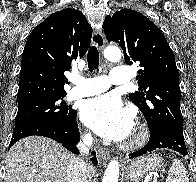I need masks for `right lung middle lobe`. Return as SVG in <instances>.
<instances>
[{"mask_svg": "<svg viewBox=\"0 0 196 182\" xmlns=\"http://www.w3.org/2000/svg\"><path fill=\"white\" fill-rule=\"evenodd\" d=\"M64 96L41 98L19 104L15 126L41 119L71 122L77 112L66 105L62 100Z\"/></svg>", "mask_w": 196, "mask_h": 182, "instance_id": "obj_1", "label": "right lung middle lobe"}]
</instances>
